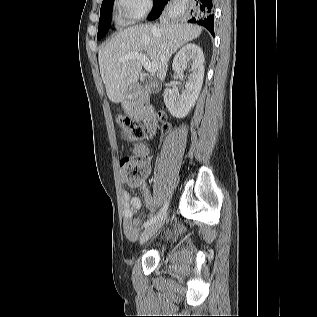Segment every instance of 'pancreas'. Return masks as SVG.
I'll list each match as a JSON object with an SVG mask.
<instances>
[{"label": "pancreas", "instance_id": "obj_1", "mask_svg": "<svg viewBox=\"0 0 317 317\" xmlns=\"http://www.w3.org/2000/svg\"><path fill=\"white\" fill-rule=\"evenodd\" d=\"M139 102H136V103H132L130 105H134V106H138Z\"/></svg>", "mask_w": 317, "mask_h": 317}]
</instances>
